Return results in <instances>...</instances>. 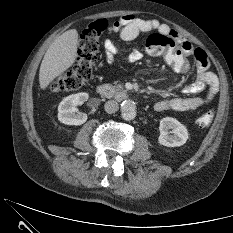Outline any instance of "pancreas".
Returning <instances> with one entry per match:
<instances>
[{
    "label": "pancreas",
    "instance_id": "cf45deb5",
    "mask_svg": "<svg viewBox=\"0 0 233 233\" xmlns=\"http://www.w3.org/2000/svg\"><path fill=\"white\" fill-rule=\"evenodd\" d=\"M114 92H120V91H124V86L122 84H117V82H115V86H113Z\"/></svg>",
    "mask_w": 233,
    "mask_h": 233
}]
</instances>
